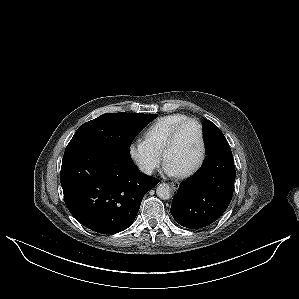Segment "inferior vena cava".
I'll return each instance as SVG.
<instances>
[{"mask_svg": "<svg viewBox=\"0 0 299 299\" xmlns=\"http://www.w3.org/2000/svg\"><path fill=\"white\" fill-rule=\"evenodd\" d=\"M143 170H144V171H146V172H148V173H149V172H151V170H150V169H148V170H147V169H143Z\"/></svg>", "mask_w": 299, "mask_h": 299, "instance_id": "inferior-vena-cava-1", "label": "inferior vena cava"}]
</instances>
